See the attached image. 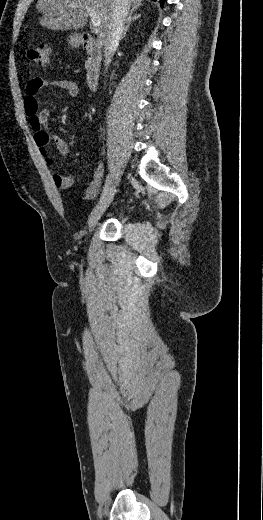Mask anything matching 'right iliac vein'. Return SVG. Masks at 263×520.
Segmentation results:
<instances>
[{"label":"right iliac vein","mask_w":263,"mask_h":520,"mask_svg":"<svg viewBox=\"0 0 263 520\" xmlns=\"http://www.w3.org/2000/svg\"><path fill=\"white\" fill-rule=\"evenodd\" d=\"M115 195V186H111L107 194L100 200V202L94 207L92 210L89 219L88 226L89 228H93L98 223L99 219L106 211L108 206L111 204Z\"/></svg>","instance_id":"right-iliac-vein-1"}]
</instances>
